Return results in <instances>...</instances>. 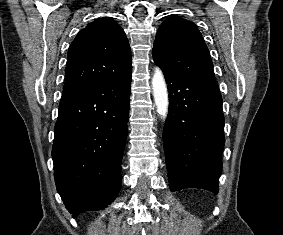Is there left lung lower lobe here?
<instances>
[{
	"label": "left lung lower lobe",
	"mask_w": 283,
	"mask_h": 235,
	"mask_svg": "<svg viewBox=\"0 0 283 235\" xmlns=\"http://www.w3.org/2000/svg\"><path fill=\"white\" fill-rule=\"evenodd\" d=\"M163 73L170 103L163 131L170 190L202 188L218 193L225 143L219 87L179 73Z\"/></svg>",
	"instance_id": "1"
}]
</instances>
